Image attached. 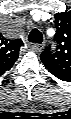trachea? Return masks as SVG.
<instances>
[{"mask_svg":"<svg viewBox=\"0 0 71 119\" xmlns=\"http://www.w3.org/2000/svg\"><path fill=\"white\" fill-rule=\"evenodd\" d=\"M28 41L41 43L43 41V35L38 29H33L28 36Z\"/></svg>","mask_w":71,"mask_h":119,"instance_id":"obj_1","label":"trachea"}]
</instances>
